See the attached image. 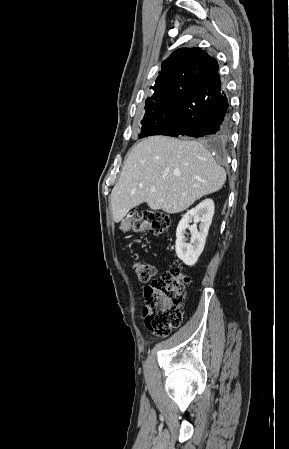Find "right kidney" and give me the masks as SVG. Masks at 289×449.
Returning <instances> with one entry per match:
<instances>
[{
  "instance_id": "obj_1",
  "label": "right kidney",
  "mask_w": 289,
  "mask_h": 449,
  "mask_svg": "<svg viewBox=\"0 0 289 449\" xmlns=\"http://www.w3.org/2000/svg\"><path fill=\"white\" fill-rule=\"evenodd\" d=\"M214 215V202L212 199H205L195 208L189 210L180 220L176 230L175 250L178 258L188 266L194 265L201 255L208 230ZM194 223L189 225V223ZM199 224V230L197 229ZM186 229L190 231V243L186 242L184 234Z\"/></svg>"
}]
</instances>
